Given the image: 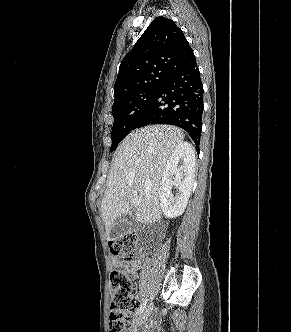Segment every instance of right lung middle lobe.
<instances>
[{"instance_id": "right-lung-middle-lobe-1", "label": "right lung middle lobe", "mask_w": 291, "mask_h": 332, "mask_svg": "<svg viewBox=\"0 0 291 332\" xmlns=\"http://www.w3.org/2000/svg\"><path fill=\"white\" fill-rule=\"evenodd\" d=\"M161 83H152L146 88L133 91L114 101L111 151L115 150L119 142L135 128L139 116L151 102Z\"/></svg>"}]
</instances>
